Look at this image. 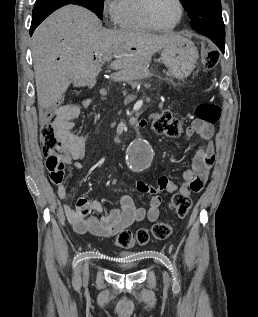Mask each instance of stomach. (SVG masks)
<instances>
[{"label": "stomach", "instance_id": "1", "mask_svg": "<svg viewBox=\"0 0 258 317\" xmlns=\"http://www.w3.org/2000/svg\"><path fill=\"white\" fill-rule=\"evenodd\" d=\"M198 56L197 46L189 38H181L179 42L164 46L161 50V60L175 78L188 76L195 68Z\"/></svg>", "mask_w": 258, "mask_h": 317}]
</instances>
